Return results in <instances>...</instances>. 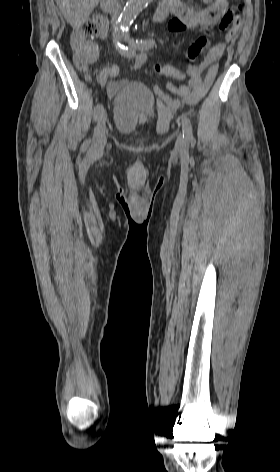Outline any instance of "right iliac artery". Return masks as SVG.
<instances>
[{
    "label": "right iliac artery",
    "mask_w": 280,
    "mask_h": 472,
    "mask_svg": "<svg viewBox=\"0 0 280 472\" xmlns=\"http://www.w3.org/2000/svg\"><path fill=\"white\" fill-rule=\"evenodd\" d=\"M118 29L115 28V31L113 32V38H114V43H115V47L116 49L119 51V53H121L124 57H127V58H132L134 57L135 55V50L133 48H130L128 46H124L122 44H120L117 40H116V32H117ZM110 75V70L105 68L103 69L101 72H100V75H99V82H100V85L102 87H104L106 85V82H107V79ZM103 112V105L101 103H98L95 108H94V120L96 121L101 113ZM91 143V140H87L85 141V143L83 144V147L87 148L89 146V144Z\"/></svg>",
    "instance_id": "82829eb1"
}]
</instances>
